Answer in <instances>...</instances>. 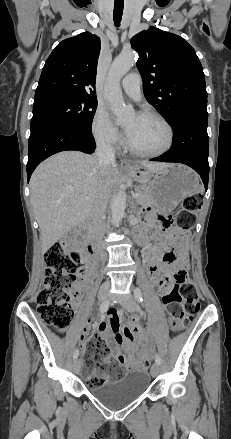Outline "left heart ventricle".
Wrapping results in <instances>:
<instances>
[{"label":"left heart ventricle","instance_id":"b2bd125f","mask_svg":"<svg viewBox=\"0 0 231 439\" xmlns=\"http://www.w3.org/2000/svg\"><path fill=\"white\" fill-rule=\"evenodd\" d=\"M125 127L131 130L130 145L140 151H155L167 142V130L155 118L134 115L126 121Z\"/></svg>","mask_w":231,"mask_h":439}]
</instances>
